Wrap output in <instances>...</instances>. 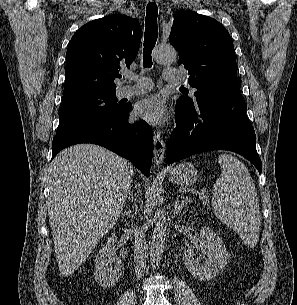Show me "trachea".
Segmentation results:
<instances>
[{
    "instance_id": "1",
    "label": "trachea",
    "mask_w": 297,
    "mask_h": 305,
    "mask_svg": "<svg viewBox=\"0 0 297 305\" xmlns=\"http://www.w3.org/2000/svg\"><path fill=\"white\" fill-rule=\"evenodd\" d=\"M158 7L154 2H150L146 8L145 19V35L143 49V63L145 67L152 66L151 53L157 41L158 26H157Z\"/></svg>"
}]
</instances>
